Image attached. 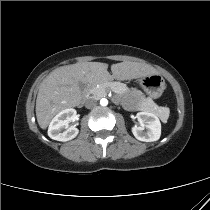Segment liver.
Instances as JSON below:
<instances>
[{"mask_svg":"<svg viewBox=\"0 0 210 210\" xmlns=\"http://www.w3.org/2000/svg\"><path fill=\"white\" fill-rule=\"evenodd\" d=\"M101 62H81L52 71L41 83L36 99V117L39 126L46 129L59 112L78 106L82 100L79 82L86 86L105 83L111 79L133 80L156 71L147 64L124 61L111 65Z\"/></svg>","mask_w":210,"mask_h":210,"instance_id":"obj_1","label":"liver"}]
</instances>
